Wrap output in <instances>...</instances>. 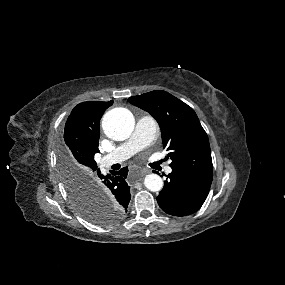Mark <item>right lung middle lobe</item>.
<instances>
[{
	"instance_id": "1",
	"label": "right lung middle lobe",
	"mask_w": 285,
	"mask_h": 285,
	"mask_svg": "<svg viewBox=\"0 0 285 285\" xmlns=\"http://www.w3.org/2000/svg\"><path fill=\"white\" fill-rule=\"evenodd\" d=\"M58 159L64 186L73 206L83 218L96 225H109L123 216L117 206L89 188L91 176L71 160L64 146L59 148Z\"/></svg>"
}]
</instances>
